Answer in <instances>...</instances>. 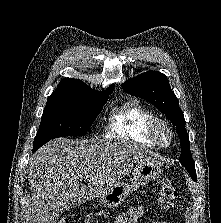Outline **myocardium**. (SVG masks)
Instances as JSON below:
<instances>
[{"label": "myocardium", "instance_id": "myocardium-1", "mask_svg": "<svg viewBox=\"0 0 221 223\" xmlns=\"http://www.w3.org/2000/svg\"><path fill=\"white\" fill-rule=\"evenodd\" d=\"M165 131L168 134V140H163L161 138V132ZM147 137L156 144V146L161 148L169 147L174 139V131L170 123L159 117H155L148 125L146 131Z\"/></svg>", "mask_w": 221, "mask_h": 223}]
</instances>
